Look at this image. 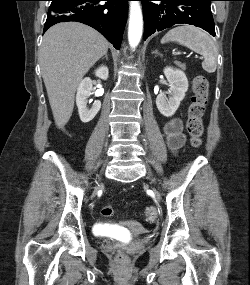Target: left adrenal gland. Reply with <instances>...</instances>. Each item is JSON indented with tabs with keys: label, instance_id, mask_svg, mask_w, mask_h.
<instances>
[{
	"label": "left adrenal gland",
	"instance_id": "left-adrenal-gland-1",
	"mask_svg": "<svg viewBox=\"0 0 250 285\" xmlns=\"http://www.w3.org/2000/svg\"><path fill=\"white\" fill-rule=\"evenodd\" d=\"M152 53H153V54H155V55L162 56V54H161V53H159V51H158V50H155V51H153Z\"/></svg>",
	"mask_w": 250,
	"mask_h": 285
}]
</instances>
